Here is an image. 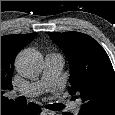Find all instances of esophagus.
Listing matches in <instances>:
<instances>
[{
    "label": "esophagus",
    "mask_w": 115,
    "mask_h": 115,
    "mask_svg": "<svg viewBox=\"0 0 115 115\" xmlns=\"http://www.w3.org/2000/svg\"><path fill=\"white\" fill-rule=\"evenodd\" d=\"M42 113L45 114V115H54L55 114L54 111L48 110L46 108L42 109Z\"/></svg>",
    "instance_id": "esophagus-1"
}]
</instances>
